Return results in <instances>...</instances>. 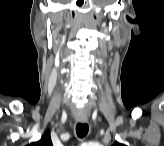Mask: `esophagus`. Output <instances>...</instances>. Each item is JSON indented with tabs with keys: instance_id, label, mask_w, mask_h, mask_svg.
<instances>
[{
	"instance_id": "obj_1",
	"label": "esophagus",
	"mask_w": 164,
	"mask_h": 146,
	"mask_svg": "<svg viewBox=\"0 0 164 146\" xmlns=\"http://www.w3.org/2000/svg\"><path fill=\"white\" fill-rule=\"evenodd\" d=\"M79 120V122H81V123H86L87 122V119H84V118H80V119H78Z\"/></svg>"
}]
</instances>
